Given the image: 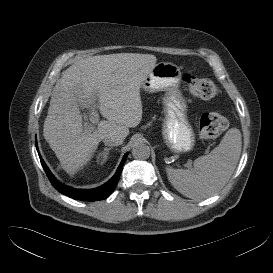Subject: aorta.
Segmentation results:
<instances>
[{"label":"aorta","instance_id":"obj_1","mask_svg":"<svg viewBox=\"0 0 273 273\" xmlns=\"http://www.w3.org/2000/svg\"><path fill=\"white\" fill-rule=\"evenodd\" d=\"M132 155L135 159H148L150 156V148L147 144L138 142L132 148Z\"/></svg>","mask_w":273,"mask_h":273}]
</instances>
